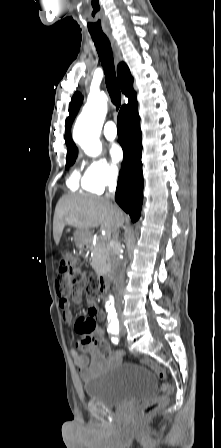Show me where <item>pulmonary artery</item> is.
I'll list each match as a JSON object with an SVG mask.
<instances>
[{"mask_svg": "<svg viewBox=\"0 0 221 448\" xmlns=\"http://www.w3.org/2000/svg\"><path fill=\"white\" fill-rule=\"evenodd\" d=\"M104 136L107 140L112 141L117 137V127L114 122L109 121L103 129Z\"/></svg>", "mask_w": 221, "mask_h": 448, "instance_id": "pulmonary-artery-1", "label": "pulmonary artery"}]
</instances>
